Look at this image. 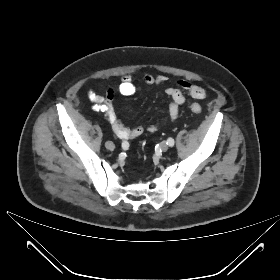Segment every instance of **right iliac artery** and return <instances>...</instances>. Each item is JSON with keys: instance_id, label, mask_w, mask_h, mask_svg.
<instances>
[{"instance_id": "82829eb1", "label": "right iliac artery", "mask_w": 280, "mask_h": 280, "mask_svg": "<svg viewBox=\"0 0 280 280\" xmlns=\"http://www.w3.org/2000/svg\"><path fill=\"white\" fill-rule=\"evenodd\" d=\"M122 147H123V148H126V147H127V144H126L125 142H123V143H122Z\"/></svg>"}]
</instances>
